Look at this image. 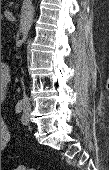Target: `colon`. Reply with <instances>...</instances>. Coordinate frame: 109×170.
<instances>
[{"label":"colon","instance_id":"obj_1","mask_svg":"<svg viewBox=\"0 0 109 170\" xmlns=\"http://www.w3.org/2000/svg\"><path fill=\"white\" fill-rule=\"evenodd\" d=\"M10 170H36V169L27 168L25 166L19 165V166L12 167Z\"/></svg>","mask_w":109,"mask_h":170}]
</instances>
